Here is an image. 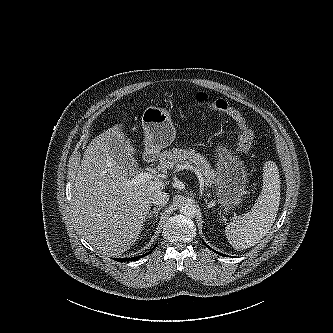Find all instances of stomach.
<instances>
[{
	"instance_id": "obj_1",
	"label": "stomach",
	"mask_w": 333,
	"mask_h": 333,
	"mask_svg": "<svg viewBox=\"0 0 333 333\" xmlns=\"http://www.w3.org/2000/svg\"><path fill=\"white\" fill-rule=\"evenodd\" d=\"M142 127L146 155H157L174 141L176 131L170 113L165 109L148 107L142 115ZM215 153L218 158L214 180L217 201L228 211L242 203L247 173L243 162L227 145H218Z\"/></svg>"
}]
</instances>
